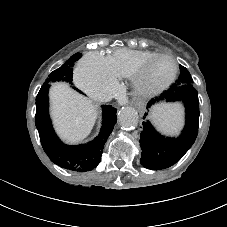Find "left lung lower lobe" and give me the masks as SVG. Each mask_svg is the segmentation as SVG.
I'll return each instance as SVG.
<instances>
[{
    "label": "left lung lower lobe",
    "mask_w": 227,
    "mask_h": 227,
    "mask_svg": "<svg viewBox=\"0 0 227 227\" xmlns=\"http://www.w3.org/2000/svg\"><path fill=\"white\" fill-rule=\"evenodd\" d=\"M181 101L186 109L185 127L177 138L160 135L149 121L142 123L140 135L141 164L151 170L168 168L178 162L195 142L199 125V100L194 84H174L156 100L152 99L147 109L158 101ZM147 113L145 114V116Z\"/></svg>",
    "instance_id": "left-lung-lower-lobe-1"
}]
</instances>
